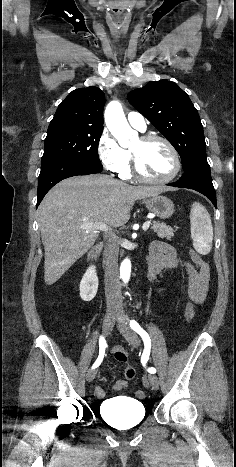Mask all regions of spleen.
Wrapping results in <instances>:
<instances>
[{
    "instance_id": "1",
    "label": "spleen",
    "mask_w": 236,
    "mask_h": 467,
    "mask_svg": "<svg viewBox=\"0 0 236 467\" xmlns=\"http://www.w3.org/2000/svg\"><path fill=\"white\" fill-rule=\"evenodd\" d=\"M191 237L195 250L206 255L212 248L213 227L210 215L198 202H194L190 212Z\"/></svg>"
}]
</instances>
